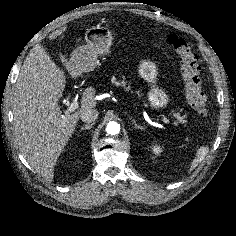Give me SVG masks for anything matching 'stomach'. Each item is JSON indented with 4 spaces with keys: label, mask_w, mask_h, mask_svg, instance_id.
Returning a JSON list of instances; mask_svg holds the SVG:
<instances>
[{
    "label": "stomach",
    "mask_w": 236,
    "mask_h": 236,
    "mask_svg": "<svg viewBox=\"0 0 236 236\" xmlns=\"http://www.w3.org/2000/svg\"><path fill=\"white\" fill-rule=\"evenodd\" d=\"M86 44L77 47L70 56V62L80 65L87 72L97 66L98 56L109 52L112 45V32L107 27L94 26L87 29ZM138 74L150 86L147 101L152 109L164 108L169 102L167 93L157 84L158 68L151 60H141L138 65Z\"/></svg>",
    "instance_id": "1"
}]
</instances>
